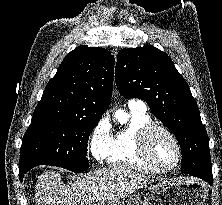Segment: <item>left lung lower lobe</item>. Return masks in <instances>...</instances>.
I'll return each instance as SVG.
<instances>
[{"label":"left lung lower lobe","mask_w":222,"mask_h":205,"mask_svg":"<svg viewBox=\"0 0 222 205\" xmlns=\"http://www.w3.org/2000/svg\"><path fill=\"white\" fill-rule=\"evenodd\" d=\"M207 167V162L193 151L182 154L181 171L201 178L202 171ZM205 180V179H203ZM205 181L212 184L213 179L207 178Z\"/></svg>","instance_id":"1"}]
</instances>
